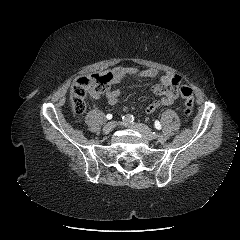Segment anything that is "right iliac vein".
Returning a JSON list of instances; mask_svg holds the SVG:
<instances>
[{
	"label": "right iliac vein",
	"mask_w": 240,
	"mask_h": 240,
	"mask_svg": "<svg viewBox=\"0 0 240 240\" xmlns=\"http://www.w3.org/2000/svg\"><path fill=\"white\" fill-rule=\"evenodd\" d=\"M116 125H117V123H116L115 121L108 122V123L104 126L103 131H104L105 133H111V132L114 130V128L116 127Z\"/></svg>",
	"instance_id": "obj_1"
}]
</instances>
